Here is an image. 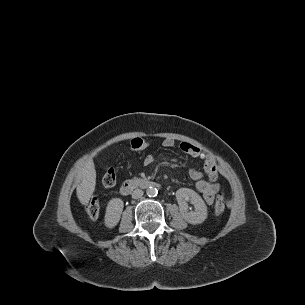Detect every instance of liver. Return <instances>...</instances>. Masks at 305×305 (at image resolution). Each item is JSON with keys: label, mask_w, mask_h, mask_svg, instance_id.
Wrapping results in <instances>:
<instances>
[{"label": "liver", "mask_w": 305, "mask_h": 305, "mask_svg": "<svg viewBox=\"0 0 305 305\" xmlns=\"http://www.w3.org/2000/svg\"><path fill=\"white\" fill-rule=\"evenodd\" d=\"M78 177L81 179V183L77 186V197L81 204H88L96 185V171L92 159H88L82 169L80 170Z\"/></svg>", "instance_id": "1"}]
</instances>
